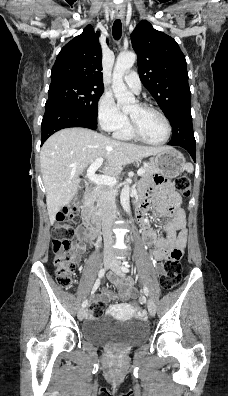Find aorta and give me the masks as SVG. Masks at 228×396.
<instances>
[{"instance_id": "aorta-1", "label": "aorta", "mask_w": 228, "mask_h": 396, "mask_svg": "<svg viewBox=\"0 0 228 396\" xmlns=\"http://www.w3.org/2000/svg\"><path fill=\"white\" fill-rule=\"evenodd\" d=\"M136 55L133 52L122 53L117 57L115 67L113 70L112 90L117 100V104L123 109L128 110L134 103V95L127 89L123 76L135 63ZM130 185L129 180H126L121 190L120 201L124 211L131 215L130 211Z\"/></svg>"}]
</instances>
